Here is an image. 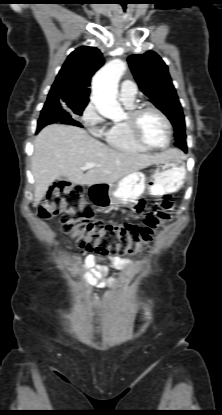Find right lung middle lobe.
Listing matches in <instances>:
<instances>
[{"instance_id": "1", "label": "right lung middle lobe", "mask_w": 222, "mask_h": 415, "mask_svg": "<svg viewBox=\"0 0 222 415\" xmlns=\"http://www.w3.org/2000/svg\"><path fill=\"white\" fill-rule=\"evenodd\" d=\"M87 102H63V101H55V102H46L45 106L49 107L50 109L54 108H65L71 114L82 115L84 108L86 107ZM44 106V107H45Z\"/></svg>"}]
</instances>
